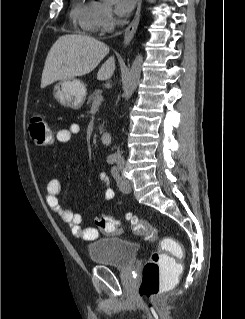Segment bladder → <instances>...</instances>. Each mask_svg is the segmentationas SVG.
I'll return each mask as SVG.
<instances>
[{"label": "bladder", "mask_w": 245, "mask_h": 319, "mask_svg": "<svg viewBox=\"0 0 245 319\" xmlns=\"http://www.w3.org/2000/svg\"><path fill=\"white\" fill-rule=\"evenodd\" d=\"M138 249L136 242L118 237L96 238L88 245L89 257L93 263L116 268L131 266Z\"/></svg>", "instance_id": "1"}]
</instances>
